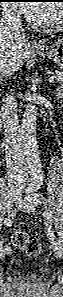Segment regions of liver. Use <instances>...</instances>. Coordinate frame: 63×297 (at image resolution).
<instances>
[{
    "label": "liver",
    "mask_w": 63,
    "mask_h": 297,
    "mask_svg": "<svg viewBox=\"0 0 63 297\" xmlns=\"http://www.w3.org/2000/svg\"><path fill=\"white\" fill-rule=\"evenodd\" d=\"M30 54L25 38L16 39L10 34L0 33V74L9 75L18 71Z\"/></svg>",
    "instance_id": "obj_1"
}]
</instances>
